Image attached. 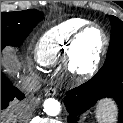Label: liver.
Returning a JSON list of instances; mask_svg holds the SVG:
<instances>
[{"label":"liver","mask_w":123,"mask_h":123,"mask_svg":"<svg viewBox=\"0 0 123 123\" xmlns=\"http://www.w3.org/2000/svg\"><path fill=\"white\" fill-rule=\"evenodd\" d=\"M1 64L6 67V71L10 73H15L16 70L20 68V62L17 59V56L13 53L10 48H7L4 52L3 58H1ZM16 101L12 103L14 105ZM8 119L11 118L12 113L8 111L4 114Z\"/></svg>","instance_id":"6515ba94"}]
</instances>
